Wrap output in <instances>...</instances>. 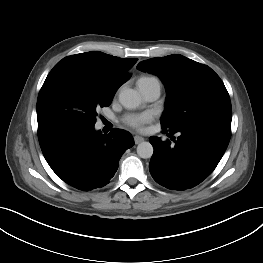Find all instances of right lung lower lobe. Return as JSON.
<instances>
[{
    "label": "right lung lower lobe",
    "mask_w": 263,
    "mask_h": 263,
    "mask_svg": "<svg viewBox=\"0 0 263 263\" xmlns=\"http://www.w3.org/2000/svg\"><path fill=\"white\" fill-rule=\"evenodd\" d=\"M42 153L55 174L74 188L88 191L109 183L132 135L113 129L102 135L89 128H55L38 133Z\"/></svg>",
    "instance_id": "1"
}]
</instances>
